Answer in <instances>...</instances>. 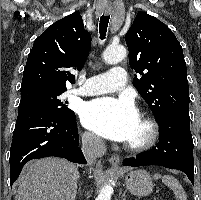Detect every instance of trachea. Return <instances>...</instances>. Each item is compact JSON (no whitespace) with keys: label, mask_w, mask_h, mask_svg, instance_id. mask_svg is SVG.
<instances>
[{"label":"trachea","mask_w":201,"mask_h":200,"mask_svg":"<svg viewBox=\"0 0 201 200\" xmlns=\"http://www.w3.org/2000/svg\"><path fill=\"white\" fill-rule=\"evenodd\" d=\"M109 19H110V16H107V15H104V14L100 18L99 33H100V39L101 40L105 39Z\"/></svg>","instance_id":"trachea-1"}]
</instances>
